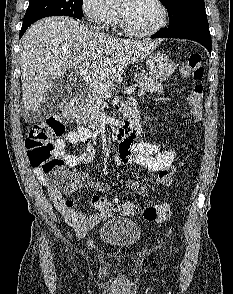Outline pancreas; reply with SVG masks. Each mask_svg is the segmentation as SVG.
Masks as SVG:
<instances>
[{
	"label": "pancreas",
	"instance_id": "cf45deb5",
	"mask_svg": "<svg viewBox=\"0 0 233 294\" xmlns=\"http://www.w3.org/2000/svg\"><path fill=\"white\" fill-rule=\"evenodd\" d=\"M138 83V95L149 93H162L163 85L157 80L149 77L144 73H140L135 78ZM106 97L103 94L97 93L94 89L88 93L85 103L81 105L82 120L88 124L92 129H98L100 126V114L103 109L107 107Z\"/></svg>",
	"mask_w": 233,
	"mask_h": 294
}]
</instances>
